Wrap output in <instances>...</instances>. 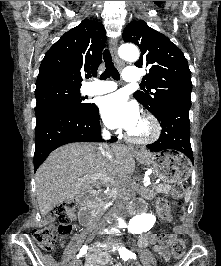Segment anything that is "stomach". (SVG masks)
<instances>
[{
	"mask_svg": "<svg viewBox=\"0 0 221 266\" xmlns=\"http://www.w3.org/2000/svg\"><path fill=\"white\" fill-rule=\"evenodd\" d=\"M155 172L166 183L179 184L186 181L192 172V165L177 152H159L150 157Z\"/></svg>",
	"mask_w": 221,
	"mask_h": 266,
	"instance_id": "0dacf381",
	"label": "stomach"
}]
</instances>
